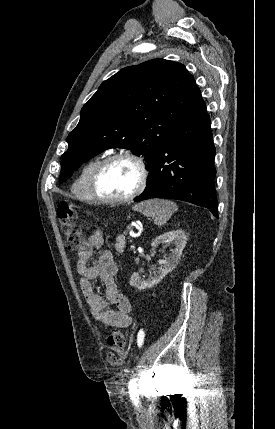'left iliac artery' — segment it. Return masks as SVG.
<instances>
[{"label":"left iliac artery","mask_w":275,"mask_h":429,"mask_svg":"<svg viewBox=\"0 0 275 429\" xmlns=\"http://www.w3.org/2000/svg\"><path fill=\"white\" fill-rule=\"evenodd\" d=\"M144 337H145V332H144L143 329H141L138 332V335H137V343H138L139 347H141L143 345V343H144ZM129 388H130L131 399L136 404L138 402V393L136 391V382H135V379H131V381L129 382Z\"/></svg>","instance_id":"obj_1"}]
</instances>
